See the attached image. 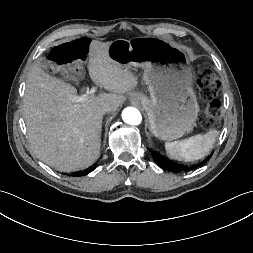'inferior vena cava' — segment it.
Instances as JSON below:
<instances>
[{"label":"inferior vena cava","mask_w":253,"mask_h":253,"mask_svg":"<svg viewBox=\"0 0 253 253\" xmlns=\"http://www.w3.org/2000/svg\"><path fill=\"white\" fill-rule=\"evenodd\" d=\"M101 109L103 112H112L115 110L114 106L109 103H104Z\"/></svg>","instance_id":"602c4592"}]
</instances>
